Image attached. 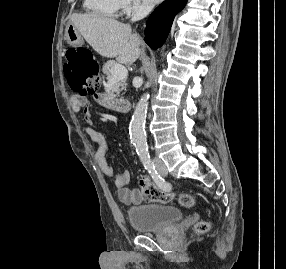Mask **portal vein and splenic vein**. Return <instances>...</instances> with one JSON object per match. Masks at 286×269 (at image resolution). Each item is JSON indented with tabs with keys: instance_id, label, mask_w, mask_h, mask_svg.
<instances>
[{
	"instance_id": "obj_1",
	"label": "portal vein and splenic vein",
	"mask_w": 286,
	"mask_h": 269,
	"mask_svg": "<svg viewBox=\"0 0 286 269\" xmlns=\"http://www.w3.org/2000/svg\"><path fill=\"white\" fill-rule=\"evenodd\" d=\"M127 76V69L121 65V64H116L114 67V77L112 80H115L116 78H123Z\"/></svg>"
}]
</instances>
